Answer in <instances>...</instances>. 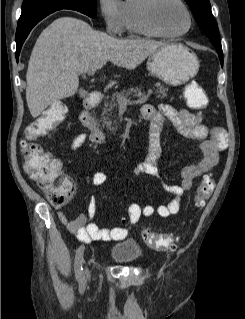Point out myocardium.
<instances>
[{
    "instance_id": "obj_1",
    "label": "myocardium",
    "mask_w": 245,
    "mask_h": 319,
    "mask_svg": "<svg viewBox=\"0 0 245 319\" xmlns=\"http://www.w3.org/2000/svg\"><path fill=\"white\" fill-rule=\"evenodd\" d=\"M174 1L177 2L184 9L187 15L188 25L186 29H184L181 32H168L160 26V24L156 21L155 18V8L156 5L160 2V0L142 1L139 8L140 20L142 25L153 35H158L166 38H176L187 34L193 25L192 13L183 0Z\"/></svg>"
}]
</instances>
